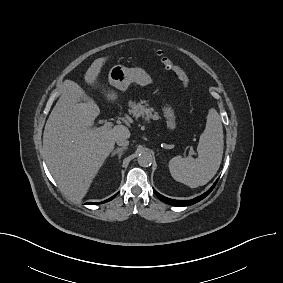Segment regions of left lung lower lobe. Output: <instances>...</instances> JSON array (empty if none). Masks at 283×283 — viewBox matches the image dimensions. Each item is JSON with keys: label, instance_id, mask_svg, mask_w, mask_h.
Segmentation results:
<instances>
[{"label": "left lung lower lobe", "instance_id": "0a47b994", "mask_svg": "<svg viewBox=\"0 0 283 283\" xmlns=\"http://www.w3.org/2000/svg\"><path fill=\"white\" fill-rule=\"evenodd\" d=\"M217 181H218V180H217ZM217 181L213 184V186H212L207 192H205L204 194H202V195H200L199 197H196V198H194V199H192V200H185V201H183V200H174V199H170V198H167V197L162 196L161 194H159L158 192H156L154 189H153V191H154V193L157 195V197H158L161 201H163V202H165V203H167V204L174 205V206H189V205H193V204L199 202L200 200L204 199L207 195H209L210 192H211V191L213 190V188L215 187Z\"/></svg>", "mask_w": 283, "mask_h": 283}]
</instances>
